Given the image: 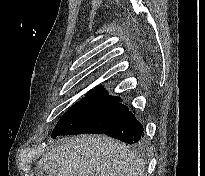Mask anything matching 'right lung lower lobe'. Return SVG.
Listing matches in <instances>:
<instances>
[{
  "instance_id": "1",
  "label": "right lung lower lobe",
  "mask_w": 205,
  "mask_h": 176,
  "mask_svg": "<svg viewBox=\"0 0 205 176\" xmlns=\"http://www.w3.org/2000/svg\"><path fill=\"white\" fill-rule=\"evenodd\" d=\"M104 134L128 144L139 143L144 137L141 123L136 120L129 109H127L123 118L105 131Z\"/></svg>"
}]
</instances>
